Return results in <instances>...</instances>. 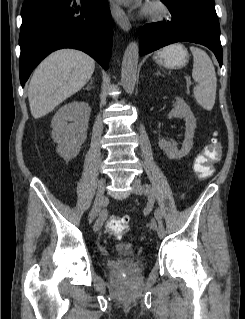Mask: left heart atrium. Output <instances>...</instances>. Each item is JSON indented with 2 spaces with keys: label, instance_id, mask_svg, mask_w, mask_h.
<instances>
[{
  "label": "left heart atrium",
  "instance_id": "obj_1",
  "mask_svg": "<svg viewBox=\"0 0 245 319\" xmlns=\"http://www.w3.org/2000/svg\"><path fill=\"white\" fill-rule=\"evenodd\" d=\"M120 1H129V0H120Z\"/></svg>",
  "mask_w": 245,
  "mask_h": 319
}]
</instances>
